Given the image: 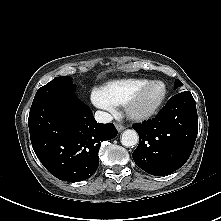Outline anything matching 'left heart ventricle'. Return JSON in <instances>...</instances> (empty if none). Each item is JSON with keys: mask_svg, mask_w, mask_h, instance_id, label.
<instances>
[{"mask_svg": "<svg viewBox=\"0 0 221 221\" xmlns=\"http://www.w3.org/2000/svg\"><path fill=\"white\" fill-rule=\"evenodd\" d=\"M162 94V87L160 85L151 86L143 94L138 109L146 110L154 105Z\"/></svg>", "mask_w": 221, "mask_h": 221, "instance_id": "b2bd125f", "label": "left heart ventricle"}]
</instances>
